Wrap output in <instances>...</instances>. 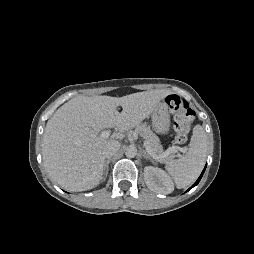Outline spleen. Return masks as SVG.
Wrapping results in <instances>:
<instances>
[{
  "label": "spleen",
  "mask_w": 254,
  "mask_h": 254,
  "mask_svg": "<svg viewBox=\"0 0 254 254\" xmlns=\"http://www.w3.org/2000/svg\"><path fill=\"white\" fill-rule=\"evenodd\" d=\"M207 144V135L203 127L196 125L193 128L188 152L166 166L177 188L187 187L199 176L206 161Z\"/></svg>",
  "instance_id": "obj_1"
}]
</instances>
